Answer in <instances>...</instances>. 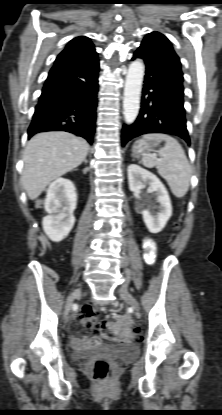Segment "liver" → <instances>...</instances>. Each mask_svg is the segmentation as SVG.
I'll return each instance as SVG.
<instances>
[{"instance_id": "1", "label": "liver", "mask_w": 222, "mask_h": 415, "mask_svg": "<svg viewBox=\"0 0 222 415\" xmlns=\"http://www.w3.org/2000/svg\"><path fill=\"white\" fill-rule=\"evenodd\" d=\"M89 144L71 133H39L28 142L23 155L21 183L31 200L36 199L55 179L79 166Z\"/></svg>"}]
</instances>
